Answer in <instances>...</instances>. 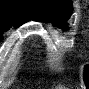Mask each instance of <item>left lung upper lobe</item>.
I'll return each mask as SVG.
<instances>
[{"mask_svg":"<svg viewBox=\"0 0 89 89\" xmlns=\"http://www.w3.org/2000/svg\"><path fill=\"white\" fill-rule=\"evenodd\" d=\"M31 7L34 20L52 22L59 28L66 26L73 10L70 0H31Z\"/></svg>","mask_w":89,"mask_h":89,"instance_id":"1","label":"left lung upper lobe"}]
</instances>
